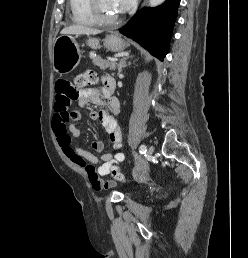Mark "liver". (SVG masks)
Here are the masks:
<instances>
[{
    "label": "liver",
    "instance_id": "6515ba94",
    "mask_svg": "<svg viewBox=\"0 0 248 258\" xmlns=\"http://www.w3.org/2000/svg\"><path fill=\"white\" fill-rule=\"evenodd\" d=\"M101 30L88 28L82 25H71L62 29V35H97Z\"/></svg>",
    "mask_w": 248,
    "mask_h": 258
}]
</instances>
